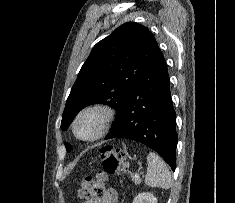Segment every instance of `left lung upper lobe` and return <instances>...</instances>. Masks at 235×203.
I'll return each mask as SVG.
<instances>
[{
  "label": "left lung upper lobe",
  "mask_w": 235,
  "mask_h": 203,
  "mask_svg": "<svg viewBox=\"0 0 235 203\" xmlns=\"http://www.w3.org/2000/svg\"><path fill=\"white\" fill-rule=\"evenodd\" d=\"M158 49L149 29L135 22L121 25L98 42L67 98L61 129L66 130L80 110L97 103L114 108L117 118ZM65 146L67 152L72 149Z\"/></svg>",
  "instance_id": "1"
}]
</instances>
